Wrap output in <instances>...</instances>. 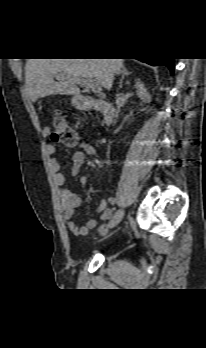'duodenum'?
<instances>
[{
  "label": "duodenum",
  "mask_w": 206,
  "mask_h": 348,
  "mask_svg": "<svg viewBox=\"0 0 206 348\" xmlns=\"http://www.w3.org/2000/svg\"><path fill=\"white\" fill-rule=\"evenodd\" d=\"M79 105L84 108H95L100 111L104 117V123L111 125L115 120V109L114 107L103 99L91 100L87 97H79Z\"/></svg>",
  "instance_id": "obj_1"
}]
</instances>
